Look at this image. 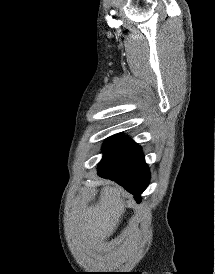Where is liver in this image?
<instances>
[{
	"mask_svg": "<svg viewBox=\"0 0 215 274\" xmlns=\"http://www.w3.org/2000/svg\"><path fill=\"white\" fill-rule=\"evenodd\" d=\"M125 195L123 189L106 182L95 205H77L70 218L72 245L76 249H91L115 232L125 213Z\"/></svg>",
	"mask_w": 215,
	"mask_h": 274,
	"instance_id": "obj_1",
	"label": "liver"
}]
</instances>
